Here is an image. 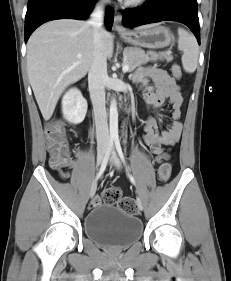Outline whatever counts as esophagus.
<instances>
[{"mask_svg":"<svg viewBox=\"0 0 231 281\" xmlns=\"http://www.w3.org/2000/svg\"><path fill=\"white\" fill-rule=\"evenodd\" d=\"M121 21L122 15L117 10H115L113 29L119 33H124L126 32V29L122 26Z\"/></svg>","mask_w":231,"mask_h":281,"instance_id":"34e87169","label":"esophagus"}]
</instances>
